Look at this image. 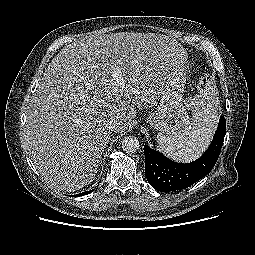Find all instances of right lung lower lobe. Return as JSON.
<instances>
[{"label":"right lung lower lobe","instance_id":"98d812e1","mask_svg":"<svg viewBox=\"0 0 255 255\" xmlns=\"http://www.w3.org/2000/svg\"><path fill=\"white\" fill-rule=\"evenodd\" d=\"M92 191H93V190H91V191H86V192H84V193L78 194L77 196L86 195V194H88V193H90V192H92Z\"/></svg>","mask_w":255,"mask_h":255}]
</instances>
